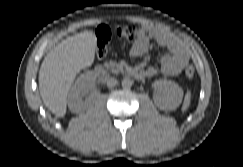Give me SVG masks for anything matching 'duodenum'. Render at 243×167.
Returning a JSON list of instances; mask_svg holds the SVG:
<instances>
[{
    "instance_id": "duodenum-1",
    "label": "duodenum",
    "mask_w": 243,
    "mask_h": 167,
    "mask_svg": "<svg viewBox=\"0 0 243 167\" xmlns=\"http://www.w3.org/2000/svg\"><path fill=\"white\" fill-rule=\"evenodd\" d=\"M94 73H95V75L97 76V78H99V79H103V78L105 77L106 70H105V68H104L103 65L99 64V65H97V66L95 67V69H94ZM134 76H135V77H140V75L137 74V73H135Z\"/></svg>"
}]
</instances>
